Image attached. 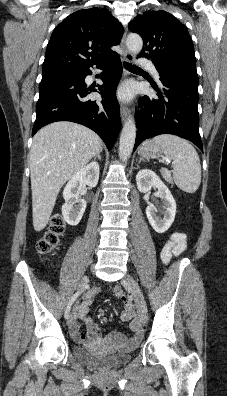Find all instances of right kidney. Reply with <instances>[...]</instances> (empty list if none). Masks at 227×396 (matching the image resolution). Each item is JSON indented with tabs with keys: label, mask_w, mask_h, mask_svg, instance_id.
Returning a JSON list of instances; mask_svg holds the SVG:
<instances>
[{
	"label": "right kidney",
	"mask_w": 227,
	"mask_h": 396,
	"mask_svg": "<svg viewBox=\"0 0 227 396\" xmlns=\"http://www.w3.org/2000/svg\"><path fill=\"white\" fill-rule=\"evenodd\" d=\"M99 180V164L91 162L77 171L66 184L63 191L65 203L62 206L64 220L72 226L77 225L86 209V201L80 197L82 188L95 187Z\"/></svg>",
	"instance_id": "right-kidney-1"
}]
</instances>
